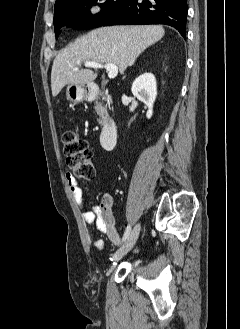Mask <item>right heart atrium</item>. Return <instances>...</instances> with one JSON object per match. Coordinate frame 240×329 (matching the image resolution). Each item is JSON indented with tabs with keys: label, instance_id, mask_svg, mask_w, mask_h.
<instances>
[{
	"label": "right heart atrium",
	"instance_id": "obj_1",
	"mask_svg": "<svg viewBox=\"0 0 240 329\" xmlns=\"http://www.w3.org/2000/svg\"><path fill=\"white\" fill-rule=\"evenodd\" d=\"M103 13V4L101 1H96L90 8H89V15L92 17H98Z\"/></svg>",
	"mask_w": 240,
	"mask_h": 329
}]
</instances>
